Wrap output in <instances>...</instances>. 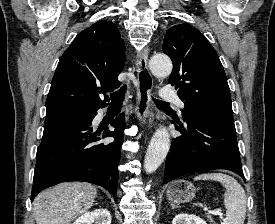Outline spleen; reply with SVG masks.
I'll return each instance as SVG.
<instances>
[{"instance_id":"3e777b00","label":"spleen","mask_w":275,"mask_h":224,"mask_svg":"<svg viewBox=\"0 0 275 224\" xmlns=\"http://www.w3.org/2000/svg\"><path fill=\"white\" fill-rule=\"evenodd\" d=\"M194 180L219 181L226 188L224 205L226 217L222 224H243L246 216V195L242 186L231 176L223 173H203Z\"/></svg>"}]
</instances>
